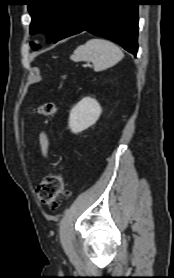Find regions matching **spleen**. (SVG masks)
<instances>
[{
  "mask_svg": "<svg viewBox=\"0 0 174 278\" xmlns=\"http://www.w3.org/2000/svg\"><path fill=\"white\" fill-rule=\"evenodd\" d=\"M123 57L122 50L113 42L105 39H90L75 49L71 59L92 62L94 70L99 72L112 67Z\"/></svg>",
  "mask_w": 174,
  "mask_h": 278,
  "instance_id": "spleen-1",
  "label": "spleen"
}]
</instances>
